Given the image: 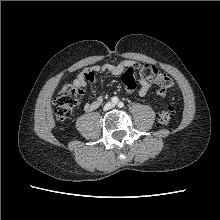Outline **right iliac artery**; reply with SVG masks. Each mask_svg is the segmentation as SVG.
Wrapping results in <instances>:
<instances>
[{
    "instance_id": "right-iliac-artery-1",
    "label": "right iliac artery",
    "mask_w": 220,
    "mask_h": 220,
    "mask_svg": "<svg viewBox=\"0 0 220 220\" xmlns=\"http://www.w3.org/2000/svg\"><path fill=\"white\" fill-rule=\"evenodd\" d=\"M111 101H112V103L117 104L119 100H118L117 97H113V98L111 99Z\"/></svg>"
}]
</instances>
